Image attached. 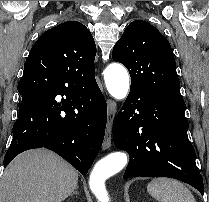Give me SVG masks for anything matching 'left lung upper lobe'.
Returning a JSON list of instances; mask_svg holds the SVG:
<instances>
[{
	"label": "left lung upper lobe",
	"instance_id": "1",
	"mask_svg": "<svg viewBox=\"0 0 209 202\" xmlns=\"http://www.w3.org/2000/svg\"><path fill=\"white\" fill-rule=\"evenodd\" d=\"M114 61L126 66L131 88L148 94L184 101L169 42L151 24L135 20L129 24L112 52Z\"/></svg>",
	"mask_w": 209,
	"mask_h": 202
}]
</instances>
